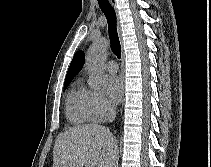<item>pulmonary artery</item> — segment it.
Instances as JSON below:
<instances>
[{
    "mask_svg": "<svg viewBox=\"0 0 211 167\" xmlns=\"http://www.w3.org/2000/svg\"><path fill=\"white\" fill-rule=\"evenodd\" d=\"M105 69L107 72H109L111 74H115L118 71V65L114 60H109L105 64Z\"/></svg>",
    "mask_w": 211,
    "mask_h": 167,
    "instance_id": "1",
    "label": "pulmonary artery"
}]
</instances>
